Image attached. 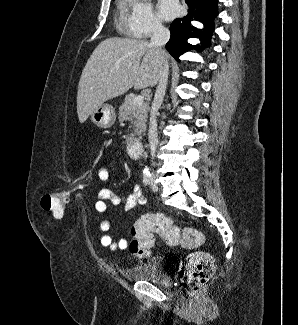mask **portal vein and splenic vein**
Here are the masks:
<instances>
[{"mask_svg":"<svg viewBox=\"0 0 298 325\" xmlns=\"http://www.w3.org/2000/svg\"><path fill=\"white\" fill-rule=\"evenodd\" d=\"M144 102V96H142V94H138V96H133L132 98V104H134V106H140V104H143Z\"/></svg>","mask_w":298,"mask_h":325,"instance_id":"1","label":"portal vein and splenic vein"}]
</instances>
